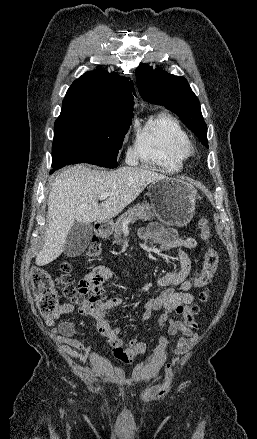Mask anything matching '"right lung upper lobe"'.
<instances>
[{"label": "right lung upper lobe", "instance_id": "cb5924a9", "mask_svg": "<svg viewBox=\"0 0 257 439\" xmlns=\"http://www.w3.org/2000/svg\"><path fill=\"white\" fill-rule=\"evenodd\" d=\"M133 81L101 69L86 72L68 89L60 116L90 113L121 117L132 113Z\"/></svg>", "mask_w": 257, "mask_h": 439}]
</instances>
